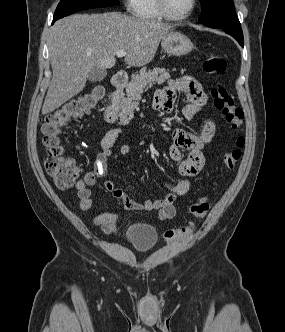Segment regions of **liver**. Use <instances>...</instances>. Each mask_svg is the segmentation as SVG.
I'll use <instances>...</instances> for the list:
<instances>
[{
  "instance_id": "1",
  "label": "liver",
  "mask_w": 285,
  "mask_h": 332,
  "mask_svg": "<svg viewBox=\"0 0 285 332\" xmlns=\"http://www.w3.org/2000/svg\"><path fill=\"white\" fill-rule=\"evenodd\" d=\"M172 26L117 12L74 14L58 20L49 42L52 80L42 107L46 115L79 94L94 67L112 68L118 50L124 61L141 67L153 60Z\"/></svg>"
}]
</instances>
